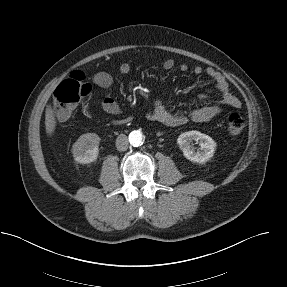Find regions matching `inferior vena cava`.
Wrapping results in <instances>:
<instances>
[{"mask_svg": "<svg viewBox=\"0 0 287 287\" xmlns=\"http://www.w3.org/2000/svg\"><path fill=\"white\" fill-rule=\"evenodd\" d=\"M128 138L125 134H120L116 139V148L119 151H126L128 149Z\"/></svg>", "mask_w": 287, "mask_h": 287, "instance_id": "602c4592", "label": "inferior vena cava"}]
</instances>
